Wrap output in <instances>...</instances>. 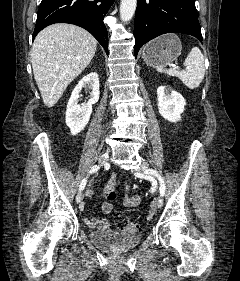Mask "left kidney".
<instances>
[{"label": "left kidney", "mask_w": 240, "mask_h": 281, "mask_svg": "<svg viewBox=\"0 0 240 281\" xmlns=\"http://www.w3.org/2000/svg\"><path fill=\"white\" fill-rule=\"evenodd\" d=\"M158 111L160 115L170 122L181 119L186 104L183 96L171 87L160 86L157 88Z\"/></svg>", "instance_id": "1"}]
</instances>
